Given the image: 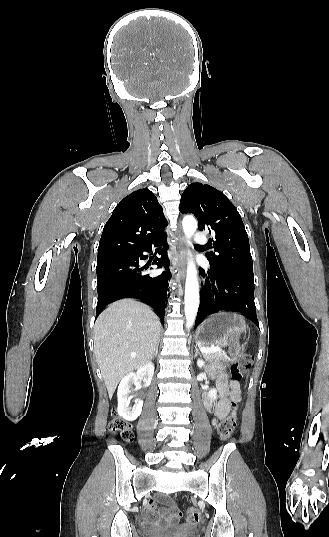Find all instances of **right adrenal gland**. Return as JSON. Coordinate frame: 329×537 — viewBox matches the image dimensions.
Returning a JSON list of instances; mask_svg holds the SVG:
<instances>
[{"mask_svg":"<svg viewBox=\"0 0 329 537\" xmlns=\"http://www.w3.org/2000/svg\"><path fill=\"white\" fill-rule=\"evenodd\" d=\"M158 346H159V342L157 343V346H156L155 353H154L153 357H156V356H157V353H158Z\"/></svg>","mask_w":329,"mask_h":537,"instance_id":"right-adrenal-gland-1","label":"right adrenal gland"}]
</instances>
